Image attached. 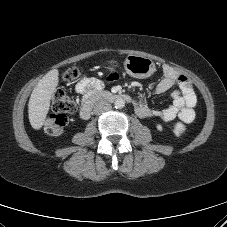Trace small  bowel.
I'll return each instance as SVG.
<instances>
[{
    "label": "small bowel",
    "instance_id": "small-bowel-1",
    "mask_svg": "<svg viewBox=\"0 0 227 227\" xmlns=\"http://www.w3.org/2000/svg\"><path fill=\"white\" fill-rule=\"evenodd\" d=\"M114 78V76L112 77ZM177 84L179 89L172 94V103L162 110L151 109L143 100L135 102V111L141 118L157 117L164 122H171L177 119L173 126L172 132L175 136H181L186 125L191 123L195 118L194 107L197 103V96L190 80L181 74H177L170 66L163 69V77L153 88L154 94H162ZM102 87V82L96 78H83L76 85V92L85 98L96 93Z\"/></svg>",
    "mask_w": 227,
    "mask_h": 227
}]
</instances>
